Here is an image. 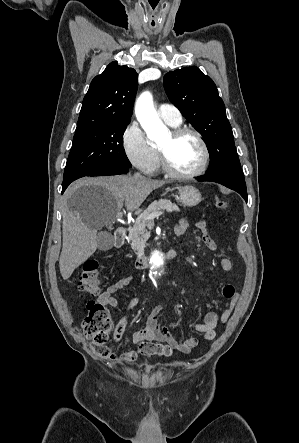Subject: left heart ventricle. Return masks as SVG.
Instances as JSON below:
<instances>
[{
  "label": "left heart ventricle",
  "mask_w": 299,
  "mask_h": 443,
  "mask_svg": "<svg viewBox=\"0 0 299 443\" xmlns=\"http://www.w3.org/2000/svg\"><path fill=\"white\" fill-rule=\"evenodd\" d=\"M159 147L167 151L171 166L178 172L195 170L202 159L201 147L192 134H185L177 139H172L169 134Z\"/></svg>",
  "instance_id": "obj_1"
}]
</instances>
